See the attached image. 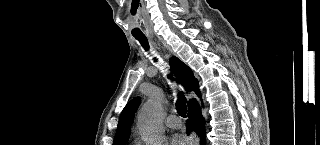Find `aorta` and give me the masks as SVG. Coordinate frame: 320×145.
<instances>
[{
    "mask_svg": "<svg viewBox=\"0 0 320 145\" xmlns=\"http://www.w3.org/2000/svg\"><path fill=\"white\" fill-rule=\"evenodd\" d=\"M163 106L160 98L149 99L138 116V129L147 145H161L164 139Z\"/></svg>",
    "mask_w": 320,
    "mask_h": 145,
    "instance_id": "762f6f07",
    "label": "aorta"
}]
</instances>
